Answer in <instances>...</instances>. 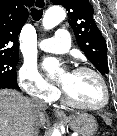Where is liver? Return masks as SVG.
Returning a JSON list of instances; mask_svg holds the SVG:
<instances>
[{
  "mask_svg": "<svg viewBox=\"0 0 117 136\" xmlns=\"http://www.w3.org/2000/svg\"><path fill=\"white\" fill-rule=\"evenodd\" d=\"M44 113L32 101L12 89H0V136H31L37 124L44 125Z\"/></svg>",
  "mask_w": 117,
  "mask_h": 136,
  "instance_id": "obj_1",
  "label": "liver"
}]
</instances>
